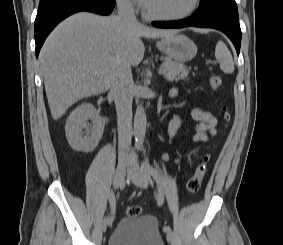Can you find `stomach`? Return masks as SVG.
I'll use <instances>...</instances> for the list:
<instances>
[{
  "instance_id": "1",
  "label": "stomach",
  "mask_w": 283,
  "mask_h": 245,
  "mask_svg": "<svg viewBox=\"0 0 283 245\" xmlns=\"http://www.w3.org/2000/svg\"><path fill=\"white\" fill-rule=\"evenodd\" d=\"M157 48L171 59L179 62L192 60L197 54V46L185 35L174 34L157 42Z\"/></svg>"
}]
</instances>
